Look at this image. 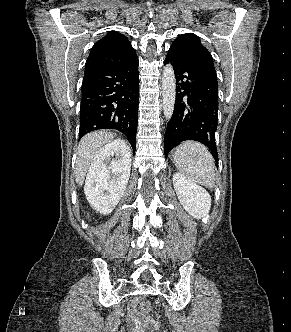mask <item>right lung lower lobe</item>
I'll return each instance as SVG.
<instances>
[{"label": "right lung lower lobe", "instance_id": "right-lung-lower-lobe-1", "mask_svg": "<svg viewBox=\"0 0 291 332\" xmlns=\"http://www.w3.org/2000/svg\"><path fill=\"white\" fill-rule=\"evenodd\" d=\"M79 138L98 129L124 133L135 152L139 104L138 58L84 73Z\"/></svg>", "mask_w": 291, "mask_h": 332}]
</instances>
